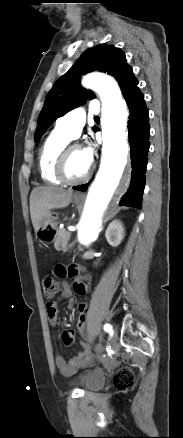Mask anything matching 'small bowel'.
I'll use <instances>...</instances> for the list:
<instances>
[{
  "label": "small bowel",
  "instance_id": "c3829d8e",
  "mask_svg": "<svg viewBox=\"0 0 183 438\" xmlns=\"http://www.w3.org/2000/svg\"><path fill=\"white\" fill-rule=\"evenodd\" d=\"M55 274L58 277L66 278V277H74L77 276L79 278L73 286L71 287L67 282H63L62 284V292L61 298L67 299L71 298L73 293L78 295H86L89 291V288L86 282L90 279V276L87 273H84L83 270L75 265H63L58 264L55 266ZM70 305H73V302H70ZM57 306L55 302H50L47 304V315L48 320L51 325H55L57 322ZM62 342L65 345H71L74 342L75 332L73 330L67 329L62 332L61 335ZM93 359L92 353L85 349L78 352L73 358L69 361H66L61 354L55 355V364L60 372L65 376H71L77 372V370L81 367L87 365Z\"/></svg>",
  "mask_w": 183,
  "mask_h": 438
}]
</instances>
